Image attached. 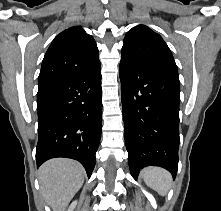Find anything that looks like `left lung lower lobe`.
<instances>
[{"instance_id": "0a47b994", "label": "left lung lower lobe", "mask_w": 221, "mask_h": 211, "mask_svg": "<svg viewBox=\"0 0 221 211\" xmlns=\"http://www.w3.org/2000/svg\"><path fill=\"white\" fill-rule=\"evenodd\" d=\"M125 143L131 175L149 165L176 177L179 148V79L120 61Z\"/></svg>"}]
</instances>
